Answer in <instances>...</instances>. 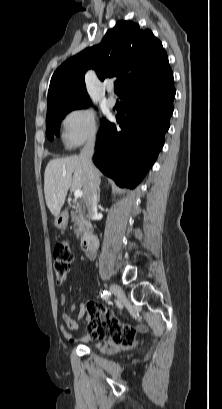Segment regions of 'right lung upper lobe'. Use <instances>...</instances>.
<instances>
[{
    "label": "right lung upper lobe",
    "instance_id": "obj_1",
    "mask_svg": "<svg viewBox=\"0 0 222 409\" xmlns=\"http://www.w3.org/2000/svg\"><path fill=\"white\" fill-rule=\"evenodd\" d=\"M94 69L100 80L118 77L117 94L152 87L156 76L170 72L161 42L137 23L118 21L102 42L65 61L54 72L48 90V111L72 104L90 103L84 76ZM141 87V88H142Z\"/></svg>",
    "mask_w": 222,
    "mask_h": 409
}]
</instances>
